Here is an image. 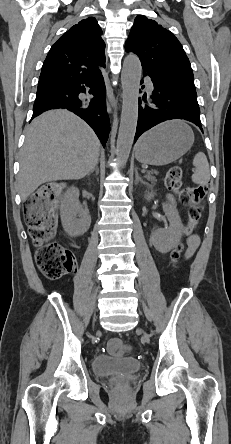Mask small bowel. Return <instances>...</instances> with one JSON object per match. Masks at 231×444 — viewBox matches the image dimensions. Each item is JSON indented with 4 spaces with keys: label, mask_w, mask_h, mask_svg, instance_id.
Returning a JSON list of instances; mask_svg holds the SVG:
<instances>
[{
    "label": "small bowel",
    "mask_w": 231,
    "mask_h": 444,
    "mask_svg": "<svg viewBox=\"0 0 231 444\" xmlns=\"http://www.w3.org/2000/svg\"><path fill=\"white\" fill-rule=\"evenodd\" d=\"M198 245H199V237L198 236L190 237L188 239V250L186 252V256L190 257L195 252Z\"/></svg>",
    "instance_id": "c3829d8e"
}]
</instances>
